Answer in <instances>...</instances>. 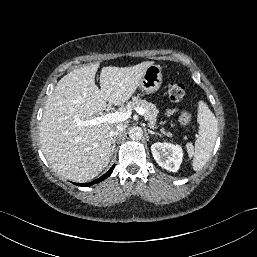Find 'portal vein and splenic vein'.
<instances>
[{
  "label": "portal vein and splenic vein",
  "instance_id": "1",
  "mask_svg": "<svg viewBox=\"0 0 257 257\" xmlns=\"http://www.w3.org/2000/svg\"><path fill=\"white\" fill-rule=\"evenodd\" d=\"M135 110L138 114L141 116L145 115V110L142 107H136ZM131 115V110H128L126 112H112L107 113L98 117H92L91 119H87L86 121H79L78 124L84 125V126H95L104 122H110V123H117V122H123L127 120Z\"/></svg>",
  "mask_w": 257,
  "mask_h": 257
}]
</instances>
